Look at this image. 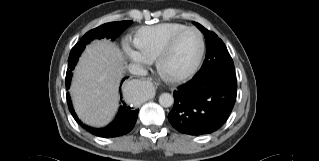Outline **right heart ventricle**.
<instances>
[{"instance_id": "1", "label": "right heart ventricle", "mask_w": 319, "mask_h": 161, "mask_svg": "<svg viewBox=\"0 0 319 161\" xmlns=\"http://www.w3.org/2000/svg\"><path fill=\"white\" fill-rule=\"evenodd\" d=\"M181 23H161L140 28L133 43L139 54L147 60L157 58L168 39L176 32L187 28Z\"/></svg>"}]
</instances>
